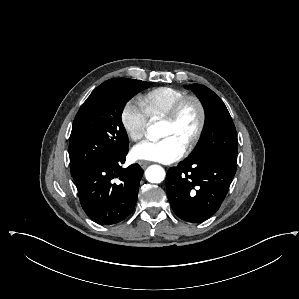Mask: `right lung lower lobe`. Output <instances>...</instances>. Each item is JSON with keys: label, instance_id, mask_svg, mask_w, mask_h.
Instances as JSON below:
<instances>
[{"label": "right lung lower lobe", "instance_id": "right-lung-lower-lobe-1", "mask_svg": "<svg viewBox=\"0 0 299 299\" xmlns=\"http://www.w3.org/2000/svg\"><path fill=\"white\" fill-rule=\"evenodd\" d=\"M127 153L93 165L74 178L83 210L100 224L120 222L135 207L143 170L138 164L122 169Z\"/></svg>", "mask_w": 299, "mask_h": 299}]
</instances>
